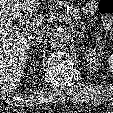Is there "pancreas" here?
Listing matches in <instances>:
<instances>
[{
    "label": "pancreas",
    "mask_w": 113,
    "mask_h": 113,
    "mask_svg": "<svg viewBox=\"0 0 113 113\" xmlns=\"http://www.w3.org/2000/svg\"><path fill=\"white\" fill-rule=\"evenodd\" d=\"M67 5H68L67 2H64L62 0H56V1H54V3H52L48 7L51 11H54L56 8H60L62 6L66 7ZM68 14H69V16L72 17L73 21L79 28H81L82 30H84L86 28V26L83 22V19H82V15L80 14L78 9L74 8L72 5H69ZM92 36L95 37L96 41L100 40L99 34L94 33Z\"/></svg>",
    "instance_id": "1"
}]
</instances>
